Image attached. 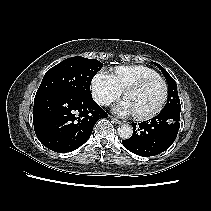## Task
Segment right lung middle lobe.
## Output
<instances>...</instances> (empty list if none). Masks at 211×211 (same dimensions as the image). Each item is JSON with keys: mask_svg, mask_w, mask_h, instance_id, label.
Segmentation results:
<instances>
[{"mask_svg": "<svg viewBox=\"0 0 211 211\" xmlns=\"http://www.w3.org/2000/svg\"><path fill=\"white\" fill-rule=\"evenodd\" d=\"M98 60L84 57H71L49 69L37 90L36 96L64 93L92 96L90 84L101 69Z\"/></svg>", "mask_w": 211, "mask_h": 211, "instance_id": "1", "label": "right lung middle lobe"}]
</instances>
